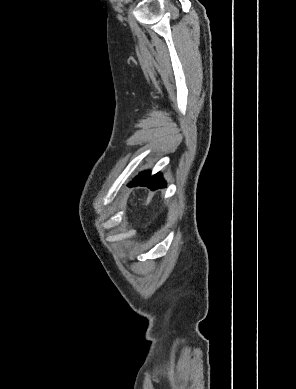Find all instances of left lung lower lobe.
Returning a JSON list of instances; mask_svg holds the SVG:
<instances>
[{
  "label": "left lung lower lobe",
  "mask_w": 296,
  "mask_h": 389,
  "mask_svg": "<svg viewBox=\"0 0 296 389\" xmlns=\"http://www.w3.org/2000/svg\"><path fill=\"white\" fill-rule=\"evenodd\" d=\"M166 182L162 179L160 174H155L150 176V172H142L140 175L134 179V181L129 184V187L132 186H147L151 190H155L161 187H165Z\"/></svg>",
  "instance_id": "obj_1"
}]
</instances>
